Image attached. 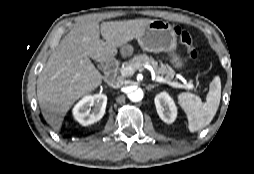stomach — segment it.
Wrapping results in <instances>:
<instances>
[{
	"mask_svg": "<svg viewBox=\"0 0 254 174\" xmlns=\"http://www.w3.org/2000/svg\"><path fill=\"white\" fill-rule=\"evenodd\" d=\"M138 43L144 51L147 52H165L168 54L170 63L177 69L184 67V60L176 52V35L172 26L162 20H154L137 38ZM123 56H129L133 48L129 44L120 47Z\"/></svg>",
	"mask_w": 254,
	"mask_h": 174,
	"instance_id": "0dacf381",
	"label": "stomach"
}]
</instances>
